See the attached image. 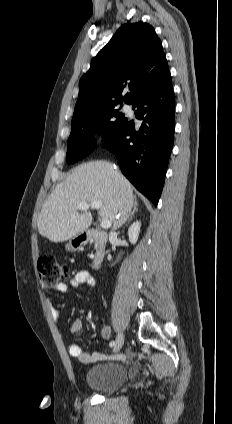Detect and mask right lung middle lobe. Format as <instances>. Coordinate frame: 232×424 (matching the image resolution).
<instances>
[{"label": "right lung middle lobe", "instance_id": "1", "mask_svg": "<svg viewBox=\"0 0 232 424\" xmlns=\"http://www.w3.org/2000/svg\"><path fill=\"white\" fill-rule=\"evenodd\" d=\"M128 119L117 105L89 110L71 122V134L67 142V163L72 164L90 154L94 149L93 135L105 132L107 138L121 129Z\"/></svg>", "mask_w": 232, "mask_h": 424}]
</instances>
